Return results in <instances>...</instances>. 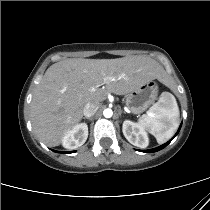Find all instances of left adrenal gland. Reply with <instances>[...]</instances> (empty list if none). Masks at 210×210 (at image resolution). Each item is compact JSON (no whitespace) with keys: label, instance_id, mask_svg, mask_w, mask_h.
<instances>
[{"label":"left adrenal gland","instance_id":"left-adrenal-gland-1","mask_svg":"<svg viewBox=\"0 0 210 210\" xmlns=\"http://www.w3.org/2000/svg\"><path fill=\"white\" fill-rule=\"evenodd\" d=\"M119 115L122 114V109L119 107V112H118Z\"/></svg>","mask_w":210,"mask_h":210}]
</instances>
